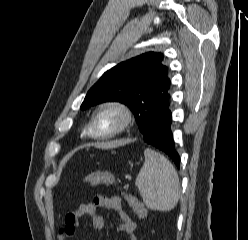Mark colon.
<instances>
[{"mask_svg":"<svg viewBox=\"0 0 248 240\" xmlns=\"http://www.w3.org/2000/svg\"><path fill=\"white\" fill-rule=\"evenodd\" d=\"M85 182L90 186L105 184L108 186H119L118 181L113 174L107 171H96L85 178ZM123 196L128 202L133 212L140 218H144L147 215V211L144 205L133 195L122 191Z\"/></svg>","mask_w":248,"mask_h":240,"instance_id":"obj_1","label":"colon"}]
</instances>
